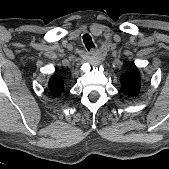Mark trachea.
I'll use <instances>...</instances> for the list:
<instances>
[{
	"instance_id": "trachea-1",
	"label": "trachea",
	"mask_w": 169,
	"mask_h": 169,
	"mask_svg": "<svg viewBox=\"0 0 169 169\" xmlns=\"http://www.w3.org/2000/svg\"><path fill=\"white\" fill-rule=\"evenodd\" d=\"M83 42H84V45L88 51H90V49L95 47V45L92 41V38L88 33H85L83 35Z\"/></svg>"
}]
</instances>
